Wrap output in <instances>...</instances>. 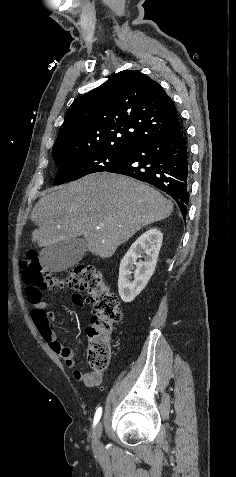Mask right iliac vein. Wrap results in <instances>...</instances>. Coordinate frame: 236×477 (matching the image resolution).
<instances>
[{"mask_svg":"<svg viewBox=\"0 0 236 477\" xmlns=\"http://www.w3.org/2000/svg\"><path fill=\"white\" fill-rule=\"evenodd\" d=\"M101 433H102V423L99 422L96 426V429H95L96 442L94 444V450H95L96 453H99L102 450V445L99 441Z\"/></svg>","mask_w":236,"mask_h":477,"instance_id":"obj_1","label":"right iliac vein"}]
</instances>
